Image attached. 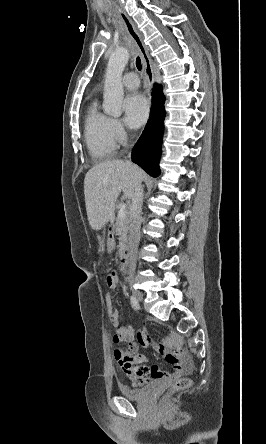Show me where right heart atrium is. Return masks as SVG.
Listing matches in <instances>:
<instances>
[{
    "instance_id": "d8ad5b80",
    "label": "right heart atrium",
    "mask_w": 266,
    "mask_h": 444,
    "mask_svg": "<svg viewBox=\"0 0 266 444\" xmlns=\"http://www.w3.org/2000/svg\"><path fill=\"white\" fill-rule=\"evenodd\" d=\"M111 125L116 141L122 142L126 137L122 123L118 119H111Z\"/></svg>"
}]
</instances>
